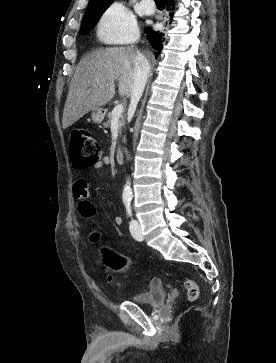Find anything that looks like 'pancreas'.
Wrapping results in <instances>:
<instances>
[{
	"mask_svg": "<svg viewBox=\"0 0 276 363\" xmlns=\"http://www.w3.org/2000/svg\"><path fill=\"white\" fill-rule=\"evenodd\" d=\"M113 118V114L112 112L108 113V120L103 124L105 127H109L110 126V123H111V120ZM125 124V120L124 118L122 117L119 121H118V127H119V134L121 135V130H122V127L124 126Z\"/></svg>",
	"mask_w": 276,
	"mask_h": 363,
	"instance_id": "1",
	"label": "pancreas"
}]
</instances>
